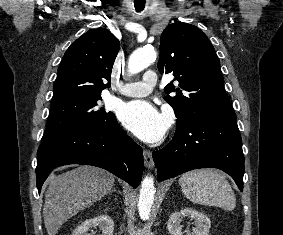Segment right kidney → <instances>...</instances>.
I'll return each instance as SVG.
<instances>
[{
    "mask_svg": "<svg viewBox=\"0 0 283 235\" xmlns=\"http://www.w3.org/2000/svg\"><path fill=\"white\" fill-rule=\"evenodd\" d=\"M93 227L99 228L101 231L100 235H113L114 222L108 215L96 216L82 222L75 228L72 235H89L88 231Z\"/></svg>",
    "mask_w": 283,
    "mask_h": 235,
    "instance_id": "1",
    "label": "right kidney"
}]
</instances>
